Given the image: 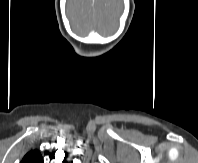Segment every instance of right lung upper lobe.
<instances>
[{
    "label": "right lung upper lobe",
    "instance_id": "obj_1",
    "mask_svg": "<svg viewBox=\"0 0 198 163\" xmlns=\"http://www.w3.org/2000/svg\"><path fill=\"white\" fill-rule=\"evenodd\" d=\"M21 163H43V158L38 150H32L23 157Z\"/></svg>",
    "mask_w": 198,
    "mask_h": 163
}]
</instances>
